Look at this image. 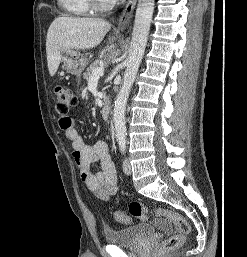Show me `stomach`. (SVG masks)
Listing matches in <instances>:
<instances>
[{
    "label": "stomach",
    "instance_id": "0dacf381",
    "mask_svg": "<svg viewBox=\"0 0 247 257\" xmlns=\"http://www.w3.org/2000/svg\"><path fill=\"white\" fill-rule=\"evenodd\" d=\"M61 63L68 73L79 76L87 66L88 59L76 50H68L62 55Z\"/></svg>",
    "mask_w": 247,
    "mask_h": 257
}]
</instances>
